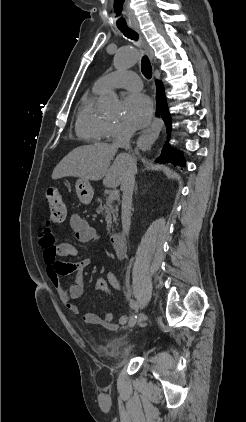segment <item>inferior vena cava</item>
Returning <instances> with one entry per match:
<instances>
[{
	"mask_svg": "<svg viewBox=\"0 0 246 422\" xmlns=\"http://www.w3.org/2000/svg\"><path fill=\"white\" fill-rule=\"evenodd\" d=\"M133 133L134 131L131 128L123 127L113 145L117 148L121 147L126 150H130V140ZM126 155L128 157L129 167L127 174L121 184V189L123 191L121 218L123 233L128 236L131 225V205L137 168L135 166V159L132 157V155Z\"/></svg>",
	"mask_w": 246,
	"mask_h": 422,
	"instance_id": "1",
	"label": "inferior vena cava"
}]
</instances>
